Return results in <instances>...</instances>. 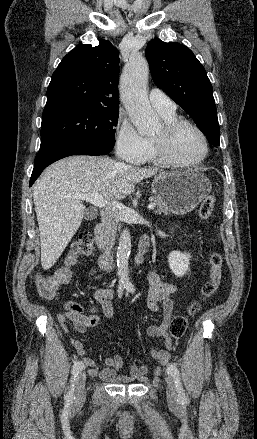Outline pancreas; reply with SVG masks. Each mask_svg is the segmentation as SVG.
Masks as SVG:
<instances>
[{"label": "pancreas", "instance_id": "1", "mask_svg": "<svg viewBox=\"0 0 257 439\" xmlns=\"http://www.w3.org/2000/svg\"><path fill=\"white\" fill-rule=\"evenodd\" d=\"M151 200L157 205V209L155 210V214H169L171 212L170 208L167 204H165L158 197H151Z\"/></svg>", "mask_w": 257, "mask_h": 439}]
</instances>
